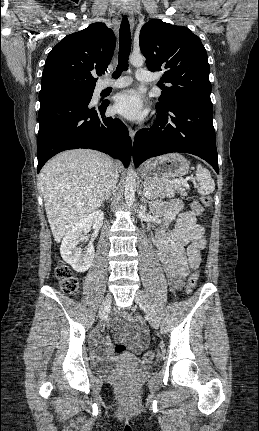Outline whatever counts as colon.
Listing matches in <instances>:
<instances>
[{
	"mask_svg": "<svg viewBox=\"0 0 259 431\" xmlns=\"http://www.w3.org/2000/svg\"><path fill=\"white\" fill-rule=\"evenodd\" d=\"M201 203V204H200ZM200 203L195 201L189 205V208L194 211V215L201 217V213L204 211V207H209L212 203L210 196H203L200 199ZM56 278L58 279L60 286L63 291L71 295H75L78 290V280L73 276L70 268L65 264H59L55 271ZM199 272L193 271L188 278V293H192L198 283ZM116 353H121L126 350L124 344H117L114 348ZM153 353L151 351L146 352L143 355L144 362H149L153 359Z\"/></svg>",
	"mask_w": 259,
	"mask_h": 431,
	"instance_id": "obj_1",
	"label": "colon"
}]
</instances>
